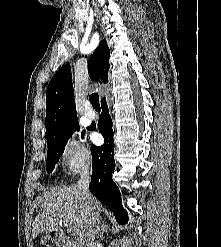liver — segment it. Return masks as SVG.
Wrapping results in <instances>:
<instances>
[{"label":"liver","instance_id":"obj_1","mask_svg":"<svg viewBox=\"0 0 221 247\" xmlns=\"http://www.w3.org/2000/svg\"><path fill=\"white\" fill-rule=\"evenodd\" d=\"M94 208L98 212L103 210L100 203L92 197ZM35 206L42 211L34 218L32 236L39 233L58 230L62 223L68 231L83 242L87 229L91 225L92 215L76 185L64 188H52L43 192L35 200Z\"/></svg>","mask_w":221,"mask_h":247}]
</instances>
